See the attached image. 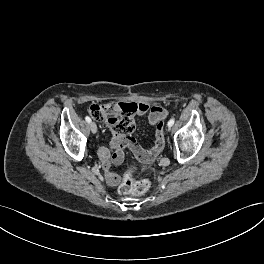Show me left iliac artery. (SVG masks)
I'll return each instance as SVG.
<instances>
[{"mask_svg":"<svg viewBox=\"0 0 264 264\" xmlns=\"http://www.w3.org/2000/svg\"><path fill=\"white\" fill-rule=\"evenodd\" d=\"M175 122V119L174 118H171L169 121H168V126H172Z\"/></svg>","mask_w":264,"mask_h":264,"instance_id":"obj_1","label":"left iliac artery"}]
</instances>
